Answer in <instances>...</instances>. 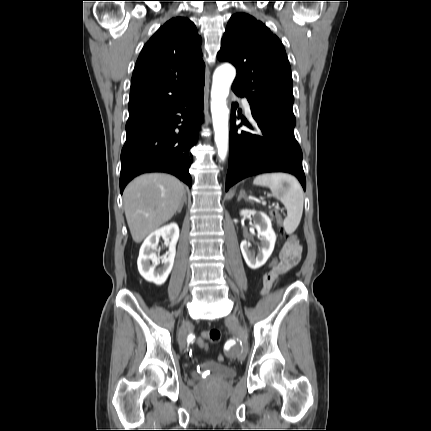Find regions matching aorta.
<instances>
[{"instance_id": "obj_1", "label": "aorta", "mask_w": 431, "mask_h": 431, "mask_svg": "<svg viewBox=\"0 0 431 431\" xmlns=\"http://www.w3.org/2000/svg\"><path fill=\"white\" fill-rule=\"evenodd\" d=\"M236 70L230 64L219 66L213 75L211 89V112L215 143L219 158L224 161L228 151V114L227 97L230 86L235 78Z\"/></svg>"}]
</instances>
